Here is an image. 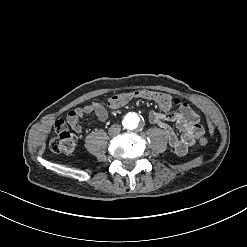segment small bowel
<instances>
[{
    "label": "small bowel",
    "mask_w": 247,
    "mask_h": 247,
    "mask_svg": "<svg viewBox=\"0 0 247 247\" xmlns=\"http://www.w3.org/2000/svg\"><path fill=\"white\" fill-rule=\"evenodd\" d=\"M109 101H98L71 110L67 115L68 125L74 132L81 133L83 128L80 120L85 115L95 114L99 121H106L108 118L107 107H110ZM177 106L179 107L178 112H169L170 109L150 112L149 121L165 131L170 147L176 155L183 157L195 144L196 139L202 136L203 129L199 124L198 114L187 103L180 101ZM170 124L176 126L181 132L180 136L176 134Z\"/></svg>",
    "instance_id": "obj_1"
}]
</instances>
